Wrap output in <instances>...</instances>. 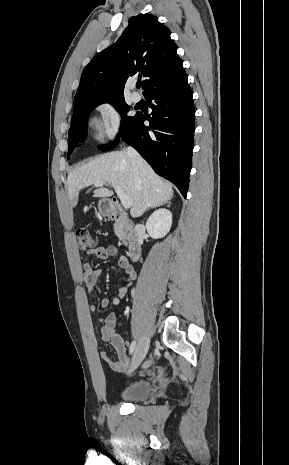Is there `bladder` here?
I'll return each instance as SVG.
<instances>
[{"mask_svg":"<svg viewBox=\"0 0 289 465\" xmlns=\"http://www.w3.org/2000/svg\"><path fill=\"white\" fill-rule=\"evenodd\" d=\"M152 385L149 380H137L126 386L120 396L127 402H141L146 400L151 393Z\"/></svg>","mask_w":289,"mask_h":465,"instance_id":"bladder-1","label":"bladder"}]
</instances>
